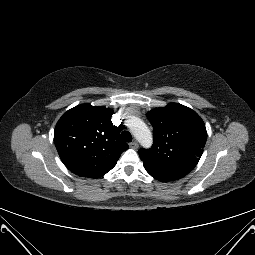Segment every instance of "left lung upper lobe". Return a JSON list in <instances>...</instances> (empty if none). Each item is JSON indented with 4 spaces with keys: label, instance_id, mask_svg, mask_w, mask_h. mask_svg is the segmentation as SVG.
<instances>
[{
    "label": "left lung upper lobe",
    "instance_id": "obj_1",
    "mask_svg": "<svg viewBox=\"0 0 255 255\" xmlns=\"http://www.w3.org/2000/svg\"><path fill=\"white\" fill-rule=\"evenodd\" d=\"M153 145L139 150L146 171L159 181L186 176L197 165L207 140L206 127L192 109L170 103L147 113Z\"/></svg>",
    "mask_w": 255,
    "mask_h": 255
}]
</instances>
